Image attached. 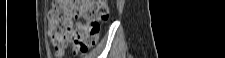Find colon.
<instances>
[{
	"label": "colon",
	"instance_id": "colon-1",
	"mask_svg": "<svg viewBox=\"0 0 225 58\" xmlns=\"http://www.w3.org/2000/svg\"><path fill=\"white\" fill-rule=\"evenodd\" d=\"M84 18L87 23L73 27L72 19ZM109 18L106 0H58L49 15V37L61 55L69 42L76 53L85 54L99 40L101 23Z\"/></svg>",
	"mask_w": 225,
	"mask_h": 58
}]
</instances>
